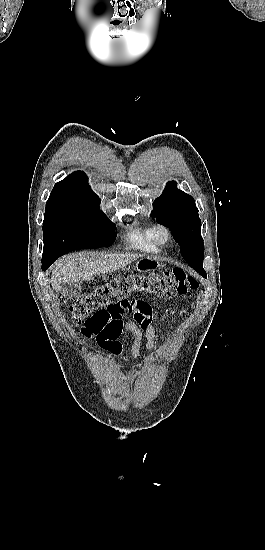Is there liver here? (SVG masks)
<instances>
[{
  "label": "liver",
  "mask_w": 265,
  "mask_h": 550,
  "mask_svg": "<svg viewBox=\"0 0 265 550\" xmlns=\"http://www.w3.org/2000/svg\"><path fill=\"white\" fill-rule=\"evenodd\" d=\"M134 254L90 255L72 254L56 263L52 270L51 285L60 292L66 283L89 281L95 275L107 274L125 267L135 261Z\"/></svg>",
  "instance_id": "6515ba94"
}]
</instances>
